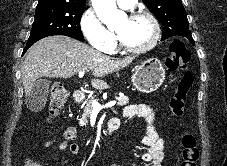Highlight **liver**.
Masks as SVG:
<instances>
[{"label": "liver", "instance_id": "1", "mask_svg": "<svg viewBox=\"0 0 227 166\" xmlns=\"http://www.w3.org/2000/svg\"><path fill=\"white\" fill-rule=\"evenodd\" d=\"M133 57L112 59L94 48L67 36H49L36 42L28 51L21 69L25 96L40 77L70 78L80 71H92L91 85L103 89L98 79L128 66Z\"/></svg>", "mask_w": 227, "mask_h": 166}]
</instances>
